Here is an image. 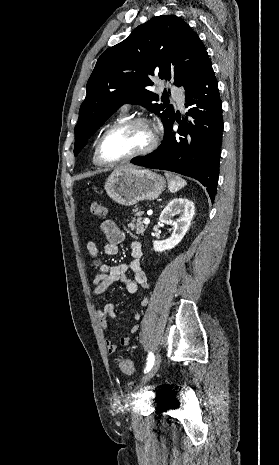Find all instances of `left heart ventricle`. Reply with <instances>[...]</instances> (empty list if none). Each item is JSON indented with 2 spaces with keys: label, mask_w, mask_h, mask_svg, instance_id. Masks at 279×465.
<instances>
[{
  "label": "left heart ventricle",
  "mask_w": 279,
  "mask_h": 465,
  "mask_svg": "<svg viewBox=\"0 0 279 465\" xmlns=\"http://www.w3.org/2000/svg\"><path fill=\"white\" fill-rule=\"evenodd\" d=\"M150 137V130L141 124L116 129L105 139L103 155L110 160L120 159L143 149Z\"/></svg>",
  "instance_id": "left-heart-ventricle-1"
}]
</instances>
